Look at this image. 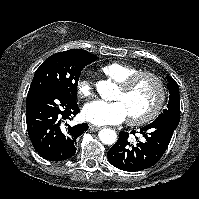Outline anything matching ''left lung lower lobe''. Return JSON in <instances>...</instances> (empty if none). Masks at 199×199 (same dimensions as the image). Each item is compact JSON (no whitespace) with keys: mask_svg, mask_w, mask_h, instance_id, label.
Masks as SVG:
<instances>
[{"mask_svg":"<svg viewBox=\"0 0 199 199\" xmlns=\"http://www.w3.org/2000/svg\"><path fill=\"white\" fill-rule=\"evenodd\" d=\"M178 123L155 120L140 129L144 138L131 141L129 133L120 132L118 141L108 151L109 162L120 170L135 172L155 165L166 151ZM135 135L136 131L131 132Z\"/></svg>","mask_w":199,"mask_h":199,"instance_id":"0a47b994","label":"left lung lower lobe"}]
</instances>
